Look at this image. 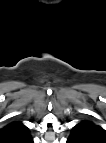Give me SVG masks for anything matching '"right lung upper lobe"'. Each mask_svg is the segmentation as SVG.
I'll list each match as a JSON object with an SVG mask.
<instances>
[{
    "mask_svg": "<svg viewBox=\"0 0 106 143\" xmlns=\"http://www.w3.org/2000/svg\"><path fill=\"white\" fill-rule=\"evenodd\" d=\"M30 138L29 129L19 121L0 128V143H26Z\"/></svg>",
    "mask_w": 106,
    "mask_h": 143,
    "instance_id": "right-lung-upper-lobe-1",
    "label": "right lung upper lobe"
}]
</instances>
